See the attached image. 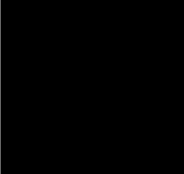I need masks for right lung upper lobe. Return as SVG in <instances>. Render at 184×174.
<instances>
[{
    "label": "right lung upper lobe",
    "instance_id": "obj_1",
    "mask_svg": "<svg viewBox=\"0 0 184 174\" xmlns=\"http://www.w3.org/2000/svg\"><path fill=\"white\" fill-rule=\"evenodd\" d=\"M73 92L67 81V65L51 58L36 72L24 102L25 122L33 134L54 130L75 117Z\"/></svg>",
    "mask_w": 184,
    "mask_h": 174
}]
</instances>
